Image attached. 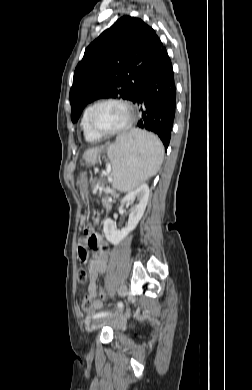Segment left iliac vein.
<instances>
[{
	"label": "left iliac vein",
	"mask_w": 252,
	"mask_h": 390,
	"mask_svg": "<svg viewBox=\"0 0 252 390\" xmlns=\"http://www.w3.org/2000/svg\"><path fill=\"white\" fill-rule=\"evenodd\" d=\"M125 292H126V286L122 285L119 288L118 293L120 295H123ZM122 311H123V309H119L116 312H114L113 314H110V315H107V316L95 319L94 322L91 325L92 331L98 330L104 323H106L110 319L118 320L120 318L121 314H122Z\"/></svg>",
	"instance_id": "4c4485c4"
}]
</instances>
